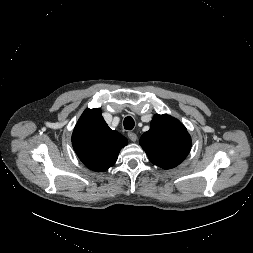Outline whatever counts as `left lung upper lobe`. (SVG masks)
Wrapping results in <instances>:
<instances>
[{
  "label": "left lung upper lobe",
  "mask_w": 253,
  "mask_h": 253,
  "mask_svg": "<svg viewBox=\"0 0 253 253\" xmlns=\"http://www.w3.org/2000/svg\"><path fill=\"white\" fill-rule=\"evenodd\" d=\"M140 145L153 164L171 169L188 155L191 138L179 120L167 114H156L150 129L141 136Z\"/></svg>",
  "instance_id": "obj_1"
}]
</instances>
